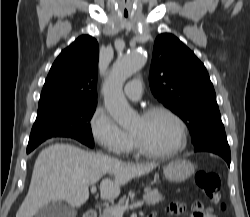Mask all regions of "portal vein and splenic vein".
Listing matches in <instances>:
<instances>
[{
	"label": "portal vein and splenic vein",
	"instance_id": "18ae733b",
	"mask_svg": "<svg viewBox=\"0 0 250 217\" xmlns=\"http://www.w3.org/2000/svg\"><path fill=\"white\" fill-rule=\"evenodd\" d=\"M91 192L94 193L96 192V186H92L91 187ZM144 202L143 201H138V202H135L129 206H124V207H110L108 208L114 215H116V217H122L124 212L128 209H135V208H138V207H141L143 206Z\"/></svg>",
	"mask_w": 250,
	"mask_h": 217
}]
</instances>
